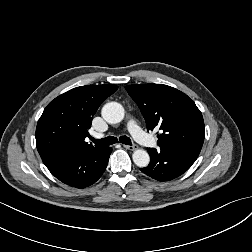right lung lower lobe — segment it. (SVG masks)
I'll use <instances>...</instances> for the list:
<instances>
[{"mask_svg":"<svg viewBox=\"0 0 252 252\" xmlns=\"http://www.w3.org/2000/svg\"><path fill=\"white\" fill-rule=\"evenodd\" d=\"M111 152L110 147L96 151H77L61 156L46 166L61 182L72 187L85 188L101 177Z\"/></svg>","mask_w":252,"mask_h":252,"instance_id":"98d812e1","label":"right lung lower lobe"}]
</instances>
